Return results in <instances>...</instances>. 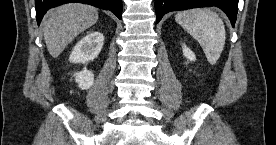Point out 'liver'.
<instances>
[{
	"instance_id": "obj_1",
	"label": "liver",
	"mask_w": 276,
	"mask_h": 145,
	"mask_svg": "<svg viewBox=\"0 0 276 145\" xmlns=\"http://www.w3.org/2000/svg\"><path fill=\"white\" fill-rule=\"evenodd\" d=\"M98 20L97 8L83 3H68L50 9L43 21L47 49L58 57L67 45Z\"/></svg>"
}]
</instances>
